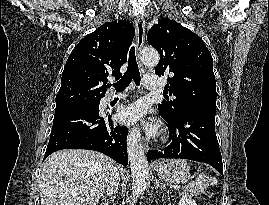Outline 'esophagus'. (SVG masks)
I'll return each mask as SVG.
<instances>
[{
	"label": "esophagus",
	"mask_w": 269,
	"mask_h": 205,
	"mask_svg": "<svg viewBox=\"0 0 269 205\" xmlns=\"http://www.w3.org/2000/svg\"><path fill=\"white\" fill-rule=\"evenodd\" d=\"M135 27H136V36H137L136 37V51H137V56L139 57V53L141 49L143 48L144 41H145V20L143 16L141 15L136 16ZM138 65H139L140 71L144 72V66L139 59H138ZM143 149L146 152L149 150V146L145 142V140L143 141Z\"/></svg>",
	"instance_id": "esophagus-1"
}]
</instances>
